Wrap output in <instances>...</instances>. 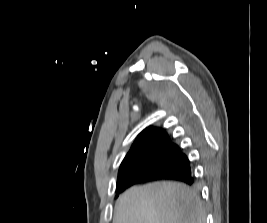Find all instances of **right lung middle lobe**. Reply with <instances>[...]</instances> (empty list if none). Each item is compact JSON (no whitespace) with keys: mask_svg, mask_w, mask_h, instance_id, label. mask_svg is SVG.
Wrapping results in <instances>:
<instances>
[{"mask_svg":"<svg viewBox=\"0 0 267 223\" xmlns=\"http://www.w3.org/2000/svg\"><path fill=\"white\" fill-rule=\"evenodd\" d=\"M184 157L185 154H183L180 149L162 150L148 160L131 163L126 167L125 174L135 171L169 172L176 167Z\"/></svg>","mask_w":267,"mask_h":223,"instance_id":"1","label":"right lung middle lobe"}]
</instances>
